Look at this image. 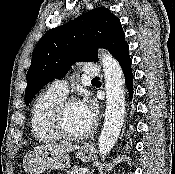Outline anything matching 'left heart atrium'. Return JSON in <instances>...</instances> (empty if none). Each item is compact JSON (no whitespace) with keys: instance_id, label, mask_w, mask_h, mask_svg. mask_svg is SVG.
Wrapping results in <instances>:
<instances>
[{"instance_id":"39dd6f15","label":"left heart atrium","mask_w":175,"mask_h":174,"mask_svg":"<svg viewBox=\"0 0 175 174\" xmlns=\"http://www.w3.org/2000/svg\"><path fill=\"white\" fill-rule=\"evenodd\" d=\"M80 106H81L87 120L92 125L97 118V112H98L95 102L92 99L85 97L80 102Z\"/></svg>"}]
</instances>
